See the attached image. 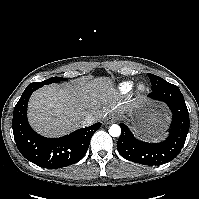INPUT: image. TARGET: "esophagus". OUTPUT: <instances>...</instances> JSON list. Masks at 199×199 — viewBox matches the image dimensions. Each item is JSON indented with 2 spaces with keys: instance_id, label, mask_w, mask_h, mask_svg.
Listing matches in <instances>:
<instances>
[{
  "instance_id": "obj_1",
  "label": "esophagus",
  "mask_w": 199,
  "mask_h": 199,
  "mask_svg": "<svg viewBox=\"0 0 199 199\" xmlns=\"http://www.w3.org/2000/svg\"><path fill=\"white\" fill-rule=\"evenodd\" d=\"M116 121H117V118L114 114H110L105 118L106 124H112V123H115Z\"/></svg>"
}]
</instances>
